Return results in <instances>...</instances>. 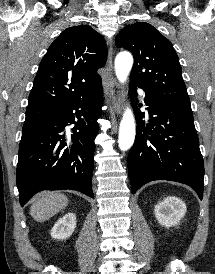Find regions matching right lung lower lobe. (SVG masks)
Returning a JSON list of instances; mask_svg holds the SVG:
<instances>
[{
  "instance_id": "98d812e1",
  "label": "right lung lower lobe",
  "mask_w": 215,
  "mask_h": 274,
  "mask_svg": "<svg viewBox=\"0 0 215 274\" xmlns=\"http://www.w3.org/2000/svg\"><path fill=\"white\" fill-rule=\"evenodd\" d=\"M102 104L100 82L85 96L23 131L16 171L21 206L41 190L71 189L93 198L94 139ZM68 123L75 125L71 134L66 132Z\"/></svg>"
}]
</instances>
